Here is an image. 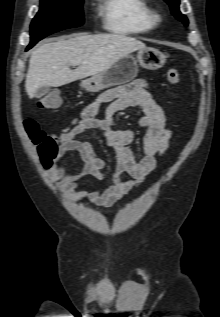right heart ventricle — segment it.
Returning <instances> with one entry per match:
<instances>
[{
    "instance_id": "e07e8e85",
    "label": "right heart ventricle",
    "mask_w": 220,
    "mask_h": 317,
    "mask_svg": "<svg viewBox=\"0 0 220 317\" xmlns=\"http://www.w3.org/2000/svg\"><path fill=\"white\" fill-rule=\"evenodd\" d=\"M98 13L104 28L117 35L143 34L154 26L146 0H99Z\"/></svg>"
}]
</instances>
